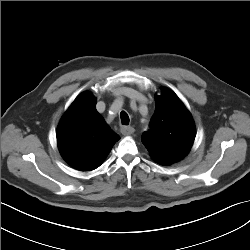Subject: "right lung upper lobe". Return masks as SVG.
<instances>
[{"label": "right lung upper lobe", "instance_id": "obj_1", "mask_svg": "<svg viewBox=\"0 0 250 250\" xmlns=\"http://www.w3.org/2000/svg\"><path fill=\"white\" fill-rule=\"evenodd\" d=\"M119 139L97 112L96 98L90 92H84L74 100L57 128L62 157L81 171L100 166Z\"/></svg>", "mask_w": 250, "mask_h": 250}]
</instances>
